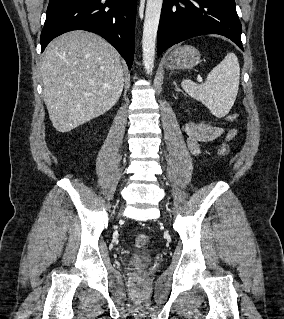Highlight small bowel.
I'll list each match as a JSON object with an SVG mask.
<instances>
[{
	"instance_id": "1",
	"label": "small bowel",
	"mask_w": 284,
	"mask_h": 319,
	"mask_svg": "<svg viewBox=\"0 0 284 319\" xmlns=\"http://www.w3.org/2000/svg\"><path fill=\"white\" fill-rule=\"evenodd\" d=\"M187 145L193 155L200 153V147L202 143L212 142L225 134V130L217 125L200 121L189 122L184 128ZM236 134V131L230 130L226 133V139H232Z\"/></svg>"
}]
</instances>
